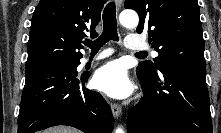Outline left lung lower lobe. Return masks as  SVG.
Listing matches in <instances>:
<instances>
[{"label":"left lung lower lobe","mask_w":221,"mask_h":133,"mask_svg":"<svg viewBox=\"0 0 221 133\" xmlns=\"http://www.w3.org/2000/svg\"><path fill=\"white\" fill-rule=\"evenodd\" d=\"M159 71L137 68L144 97L128 115V133H212L205 67L175 62Z\"/></svg>","instance_id":"obj_1"}]
</instances>
